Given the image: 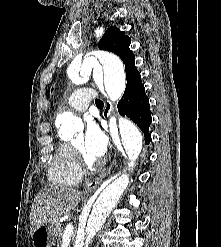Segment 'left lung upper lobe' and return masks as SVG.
I'll use <instances>...</instances> for the list:
<instances>
[{
	"instance_id": "left-lung-upper-lobe-1",
	"label": "left lung upper lobe",
	"mask_w": 221,
	"mask_h": 247,
	"mask_svg": "<svg viewBox=\"0 0 221 247\" xmlns=\"http://www.w3.org/2000/svg\"><path fill=\"white\" fill-rule=\"evenodd\" d=\"M130 43L131 39L129 36L125 35V32L120 31L117 27H109L98 43L99 49L115 53L124 62L127 76L126 88L133 80L141 81L140 73L134 63L135 56L129 49Z\"/></svg>"
}]
</instances>
